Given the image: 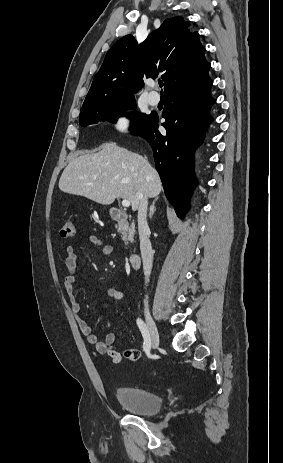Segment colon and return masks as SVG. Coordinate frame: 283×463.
Here are the masks:
<instances>
[{
	"label": "colon",
	"mask_w": 283,
	"mask_h": 463,
	"mask_svg": "<svg viewBox=\"0 0 283 463\" xmlns=\"http://www.w3.org/2000/svg\"><path fill=\"white\" fill-rule=\"evenodd\" d=\"M75 228L71 219H64L61 221L59 228V235L61 238H70L74 235Z\"/></svg>",
	"instance_id": "1"
}]
</instances>
